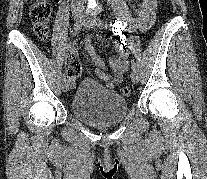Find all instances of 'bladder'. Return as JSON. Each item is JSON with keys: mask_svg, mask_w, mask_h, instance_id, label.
I'll return each instance as SVG.
<instances>
[{"mask_svg": "<svg viewBox=\"0 0 207 179\" xmlns=\"http://www.w3.org/2000/svg\"><path fill=\"white\" fill-rule=\"evenodd\" d=\"M71 111L82 122L104 126L122 120L128 112L129 103L117 92L102 85L84 80L75 91Z\"/></svg>", "mask_w": 207, "mask_h": 179, "instance_id": "31cf9c89", "label": "bladder"}]
</instances>
